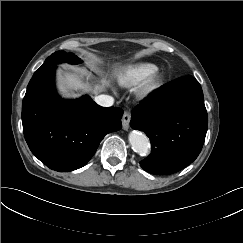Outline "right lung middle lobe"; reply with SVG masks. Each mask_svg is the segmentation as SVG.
Masks as SVG:
<instances>
[{
    "mask_svg": "<svg viewBox=\"0 0 243 243\" xmlns=\"http://www.w3.org/2000/svg\"><path fill=\"white\" fill-rule=\"evenodd\" d=\"M67 62L70 64L81 63V60L72 53H65L64 51H57L50 55L44 62L45 66H54L56 64Z\"/></svg>",
    "mask_w": 243,
    "mask_h": 243,
    "instance_id": "1",
    "label": "right lung middle lobe"
}]
</instances>
